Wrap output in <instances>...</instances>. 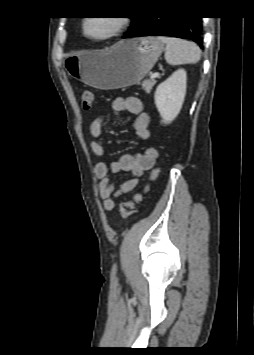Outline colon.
<instances>
[{"label":"colon","instance_id":"1","mask_svg":"<svg viewBox=\"0 0 254 355\" xmlns=\"http://www.w3.org/2000/svg\"><path fill=\"white\" fill-rule=\"evenodd\" d=\"M95 102V95L89 90H84L81 93V103L85 109H91ZM159 173L158 168H154L149 174V182L154 180ZM148 190V183L145 184L143 191ZM141 193H136L130 200L124 201L120 204L119 212L120 216L125 219L135 213L139 202L141 201Z\"/></svg>","mask_w":254,"mask_h":355}]
</instances>
